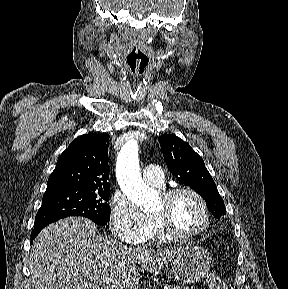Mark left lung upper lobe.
<instances>
[{"label": "left lung upper lobe", "mask_w": 288, "mask_h": 289, "mask_svg": "<svg viewBox=\"0 0 288 289\" xmlns=\"http://www.w3.org/2000/svg\"><path fill=\"white\" fill-rule=\"evenodd\" d=\"M166 164L177 179L199 193L207 203L209 211L219 218L226 214L224 201L205 167L203 159L191 146L175 135L159 137Z\"/></svg>", "instance_id": "5c2ea615"}]
</instances>
